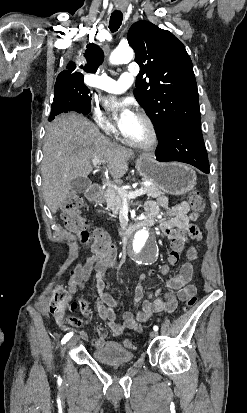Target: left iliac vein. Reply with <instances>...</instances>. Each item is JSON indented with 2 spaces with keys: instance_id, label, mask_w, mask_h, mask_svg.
Wrapping results in <instances>:
<instances>
[{
  "instance_id": "4c4485c4",
  "label": "left iliac vein",
  "mask_w": 247,
  "mask_h": 413,
  "mask_svg": "<svg viewBox=\"0 0 247 413\" xmlns=\"http://www.w3.org/2000/svg\"><path fill=\"white\" fill-rule=\"evenodd\" d=\"M157 334H158V333H157L156 331H151V332H150V338L156 337Z\"/></svg>"
}]
</instances>
